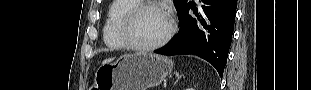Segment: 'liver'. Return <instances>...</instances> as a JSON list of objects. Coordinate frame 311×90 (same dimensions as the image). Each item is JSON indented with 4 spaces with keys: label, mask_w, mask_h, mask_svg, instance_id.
<instances>
[{
    "label": "liver",
    "mask_w": 311,
    "mask_h": 90,
    "mask_svg": "<svg viewBox=\"0 0 311 90\" xmlns=\"http://www.w3.org/2000/svg\"><path fill=\"white\" fill-rule=\"evenodd\" d=\"M114 58H108V59H105L103 62H102V65L104 64H107L109 62H111Z\"/></svg>",
    "instance_id": "obj_1"
}]
</instances>
